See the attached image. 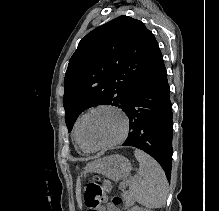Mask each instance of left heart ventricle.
Masks as SVG:
<instances>
[{
  "mask_svg": "<svg viewBox=\"0 0 219 211\" xmlns=\"http://www.w3.org/2000/svg\"><path fill=\"white\" fill-rule=\"evenodd\" d=\"M121 116L109 109H101L91 113L82 126V139L89 147L108 143L117 138L122 131Z\"/></svg>",
  "mask_w": 219,
  "mask_h": 211,
  "instance_id": "obj_1",
  "label": "left heart ventricle"
}]
</instances>
